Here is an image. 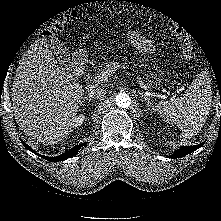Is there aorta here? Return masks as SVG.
Masks as SVG:
<instances>
[{
	"instance_id": "obj_1",
	"label": "aorta",
	"mask_w": 221,
	"mask_h": 221,
	"mask_svg": "<svg viewBox=\"0 0 221 221\" xmlns=\"http://www.w3.org/2000/svg\"><path fill=\"white\" fill-rule=\"evenodd\" d=\"M116 105L119 108H128L131 104V99L126 93H118L115 98Z\"/></svg>"
}]
</instances>
